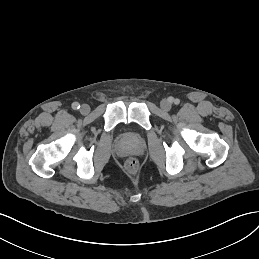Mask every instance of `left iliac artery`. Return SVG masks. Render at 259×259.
<instances>
[{
    "instance_id": "left-iliac-artery-1",
    "label": "left iliac artery",
    "mask_w": 259,
    "mask_h": 259,
    "mask_svg": "<svg viewBox=\"0 0 259 259\" xmlns=\"http://www.w3.org/2000/svg\"><path fill=\"white\" fill-rule=\"evenodd\" d=\"M179 99H175V101H174V103L177 105V104H179Z\"/></svg>"
}]
</instances>
